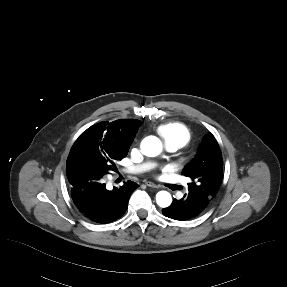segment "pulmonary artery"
<instances>
[{
  "label": "pulmonary artery",
  "instance_id": "pulmonary-artery-1",
  "mask_svg": "<svg viewBox=\"0 0 287 287\" xmlns=\"http://www.w3.org/2000/svg\"><path fill=\"white\" fill-rule=\"evenodd\" d=\"M167 150L170 151V152H174L177 150L176 147L174 146H166ZM147 165H139V166H136V167H132V168H129L127 170H125L126 173H130V174H137V173H141L143 171H145L147 169Z\"/></svg>",
  "mask_w": 287,
  "mask_h": 287
}]
</instances>
